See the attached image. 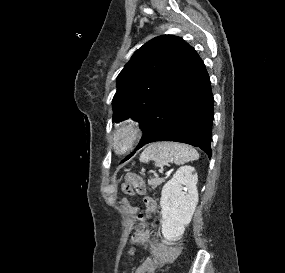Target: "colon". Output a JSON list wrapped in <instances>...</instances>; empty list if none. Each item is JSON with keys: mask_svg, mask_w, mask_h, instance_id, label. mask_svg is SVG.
<instances>
[{"mask_svg": "<svg viewBox=\"0 0 285 273\" xmlns=\"http://www.w3.org/2000/svg\"><path fill=\"white\" fill-rule=\"evenodd\" d=\"M122 191L129 195L143 194L145 192L143 180L136 174H127L122 183ZM138 219L144 222L147 219L146 212L142 211L141 214H138ZM144 232H149V223H138V230L133 237V241L137 243ZM130 253L132 254L133 250H130Z\"/></svg>", "mask_w": 285, "mask_h": 273, "instance_id": "5ec220e1", "label": "colon"}]
</instances>
